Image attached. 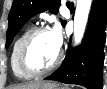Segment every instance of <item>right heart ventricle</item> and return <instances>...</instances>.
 Returning a JSON list of instances; mask_svg holds the SVG:
<instances>
[{
  "label": "right heart ventricle",
  "mask_w": 107,
  "mask_h": 89,
  "mask_svg": "<svg viewBox=\"0 0 107 89\" xmlns=\"http://www.w3.org/2000/svg\"><path fill=\"white\" fill-rule=\"evenodd\" d=\"M34 28L32 26L27 27L14 41L12 49H11V57H10V63H11V68L14 73V75L23 80H28L32 78L33 76L26 73L23 71V69L20 66L19 63V55H20V50L22 47V44L28 34L33 30Z\"/></svg>",
  "instance_id": "1"
}]
</instances>
